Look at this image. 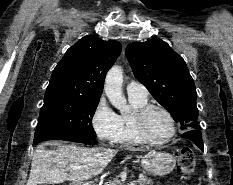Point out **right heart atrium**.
Returning <instances> with one entry per match:
<instances>
[{
	"instance_id": "1",
	"label": "right heart atrium",
	"mask_w": 233,
	"mask_h": 185,
	"mask_svg": "<svg viewBox=\"0 0 233 185\" xmlns=\"http://www.w3.org/2000/svg\"><path fill=\"white\" fill-rule=\"evenodd\" d=\"M90 121L95 135L101 142H117L120 134L119 115L110 107L105 97L102 96L97 101Z\"/></svg>"
}]
</instances>
